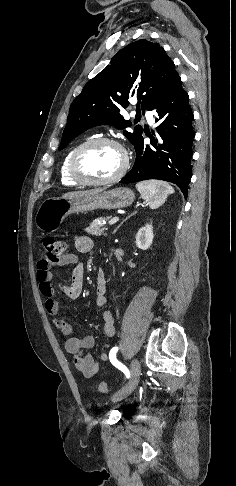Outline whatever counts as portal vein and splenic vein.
Masks as SVG:
<instances>
[{
	"instance_id": "portal-vein-and-splenic-vein-1",
	"label": "portal vein and splenic vein",
	"mask_w": 236,
	"mask_h": 486,
	"mask_svg": "<svg viewBox=\"0 0 236 486\" xmlns=\"http://www.w3.org/2000/svg\"><path fill=\"white\" fill-rule=\"evenodd\" d=\"M118 220H119V218H118V217H114L113 219H111V220L109 221V224H110V225H113V224L117 223V222H118Z\"/></svg>"
}]
</instances>
